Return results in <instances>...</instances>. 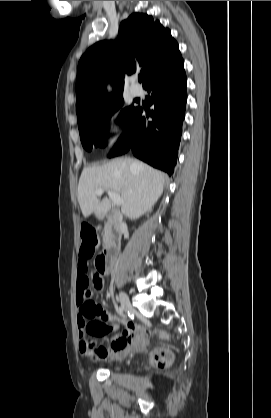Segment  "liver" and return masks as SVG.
Masks as SVG:
<instances>
[{"label": "liver", "mask_w": 271, "mask_h": 418, "mask_svg": "<svg viewBox=\"0 0 271 418\" xmlns=\"http://www.w3.org/2000/svg\"><path fill=\"white\" fill-rule=\"evenodd\" d=\"M166 175L151 166L131 158H118L105 165L83 169L77 199L83 216L103 215L110 211L108 198L100 200L99 188L118 193L123 199L122 213L138 219L150 211L163 193Z\"/></svg>", "instance_id": "obj_1"}]
</instances>
